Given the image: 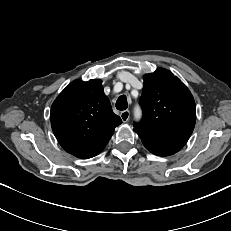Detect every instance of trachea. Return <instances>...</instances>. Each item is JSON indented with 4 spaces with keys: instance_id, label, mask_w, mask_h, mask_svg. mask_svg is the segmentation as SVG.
Segmentation results:
<instances>
[{
    "instance_id": "trachea-1",
    "label": "trachea",
    "mask_w": 231,
    "mask_h": 231,
    "mask_svg": "<svg viewBox=\"0 0 231 231\" xmlns=\"http://www.w3.org/2000/svg\"><path fill=\"white\" fill-rule=\"evenodd\" d=\"M116 108L120 111L127 109V97L125 95H121L116 101Z\"/></svg>"
}]
</instances>
